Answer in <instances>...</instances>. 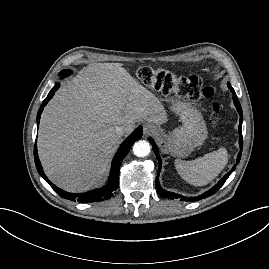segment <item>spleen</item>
<instances>
[{
    "mask_svg": "<svg viewBox=\"0 0 269 269\" xmlns=\"http://www.w3.org/2000/svg\"><path fill=\"white\" fill-rule=\"evenodd\" d=\"M229 154L223 147L195 160H175V167L183 180L194 186H203L214 180L228 163Z\"/></svg>",
    "mask_w": 269,
    "mask_h": 269,
    "instance_id": "spleen-1",
    "label": "spleen"
}]
</instances>
